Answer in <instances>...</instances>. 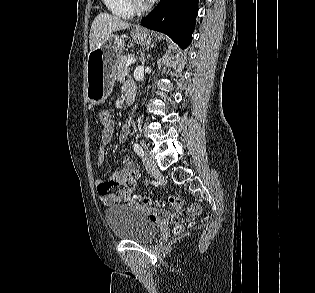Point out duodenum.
<instances>
[{
    "instance_id": "1",
    "label": "duodenum",
    "mask_w": 315,
    "mask_h": 293,
    "mask_svg": "<svg viewBox=\"0 0 315 293\" xmlns=\"http://www.w3.org/2000/svg\"><path fill=\"white\" fill-rule=\"evenodd\" d=\"M134 96H135L134 92H130L129 94L126 95V104L127 105H130L133 102Z\"/></svg>"
}]
</instances>
